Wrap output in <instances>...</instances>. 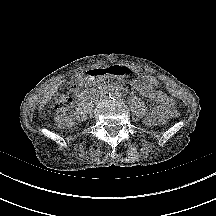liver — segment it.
I'll return each instance as SVG.
<instances>
[{
	"instance_id": "6515ba94",
	"label": "liver",
	"mask_w": 216,
	"mask_h": 216,
	"mask_svg": "<svg viewBox=\"0 0 216 216\" xmlns=\"http://www.w3.org/2000/svg\"><path fill=\"white\" fill-rule=\"evenodd\" d=\"M56 89L57 87H53L49 92H47V94L45 95L44 99L41 102L40 109H42L44 105L50 100L52 94L55 92Z\"/></svg>"
}]
</instances>
